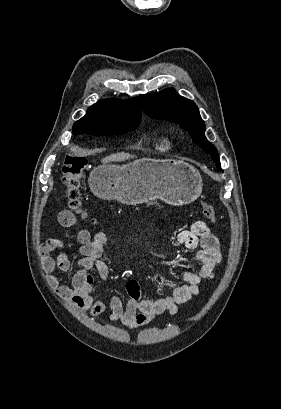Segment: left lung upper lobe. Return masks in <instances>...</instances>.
<instances>
[{"label":"left lung upper lobe","mask_w":281,"mask_h":409,"mask_svg":"<svg viewBox=\"0 0 281 409\" xmlns=\"http://www.w3.org/2000/svg\"><path fill=\"white\" fill-rule=\"evenodd\" d=\"M143 111L151 118L165 119L178 123L188 130L193 141L202 149L209 152L221 170L216 148L205 137V124L201 119L196 104L178 95L173 89H164L155 94L140 96Z\"/></svg>","instance_id":"1"}]
</instances>
